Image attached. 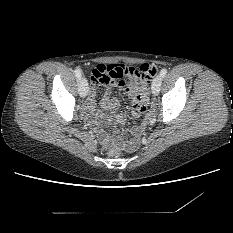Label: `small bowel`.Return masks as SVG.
<instances>
[{"instance_id": "c3829d8e", "label": "small bowel", "mask_w": 233, "mask_h": 233, "mask_svg": "<svg viewBox=\"0 0 233 233\" xmlns=\"http://www.w3.org/2000/svg\"><path fill=\"white\" fill-rule=\"evenodd\" d=\"M98 67L105 69L108 76L110 77L109 81L104 83L106 89L101 100V107L104 110L112 112L109 119L114 122H119L127 117H131L134 119L140 118L146 109V104L145 102H138L137 95L140 91L145 90L147 82L141 80L138 81L137 78H133L130 80L128 85H126L121 76L124 71L123 64L100 63L97 65V68ZM112 87H116L120 90L125 91L132 100V108L128 112H117L120 108V102L116 98L112 97ZM96 88L97 82L95 81L93 86L90 88L84 110L85 115L91 118L94 124H97L98 120L102 117V112L98 110L96 106ZM143 128L144 127L142 125L133 127L131 131L125 136L120 135L118 133L114 135H109L98 128H95V131L102 145H107L112 142L127 141L131 148H136L140 132L143 130Z\"/></svg>"}]
</instances>
